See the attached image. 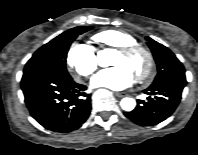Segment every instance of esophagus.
I'll return each mask as SVG.
<instances>
[{
	"mask_svg": "<svg viewBox=\"0 0 198 155\" xmlns=\"http://www.w3.org/2000/svg\"><path fill=\"white\" fill-rule=\"evenodd\" d=\"M115 96L118 98H122L125 96V94L124 93H115Z\"/></svg>",
	"mask_w": 198,
	"mask_h": 155,
	"instance_id": "esophagus-1",
	"label": "esophagus"
}]
</instances>
